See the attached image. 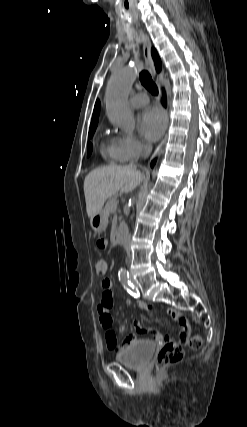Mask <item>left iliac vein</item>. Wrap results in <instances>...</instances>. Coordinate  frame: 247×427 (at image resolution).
<instances>
[{
	"instance_id": "1",
	"label": "left iliac vein",
	"mask_w": 247,
	"mask_h": 427,
	"mask_svg": "<svg viewBox=\"0 0 247 427\" xmlns=\"http://www.w3.org/2000/svg\"><path fill=\"white\" fill-rule=\"evenodd\" d=\"M132 283L135 285V286H137V284H136V282L132 279Z\"/></svg>"
}]
</instances>
